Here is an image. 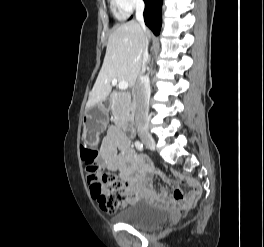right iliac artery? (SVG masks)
<instances>
[{
	"instance_id": "right-iliac-artery-1",
	"label": "right iliac artery",
	"mask_w": 264,
	"mask_h": 247,
	"mask_svg": "<svg viewBox=\"0 0 264 247\" xmlns=\"http://www.w3.org/2000/svg\"><path fill=\"white\" fill-rule=\"evenodd\" d=\"M135 147L139 150V151H143V144L140 141H136L135 142Z\"/></svg>"
}]
</instances>
